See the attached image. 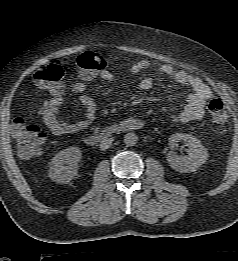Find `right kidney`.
I'll return each instance as SVG.
<instances>
[{"label":"right kidney","mask_w":238,"mask_h":261,"mask_svg":"<svg viewBox=\"0 0 238 261\" xmlns=\"http://www.w3.org/2000/svg\"><path fill=\"white\" fill-rule=\"evenodd\" d=\"M82 152L77 147H68L58 152L50 162L49 177L59 184L69 183L78 173Z\"/></svg>","instance_id":"1"}]
</instances>
